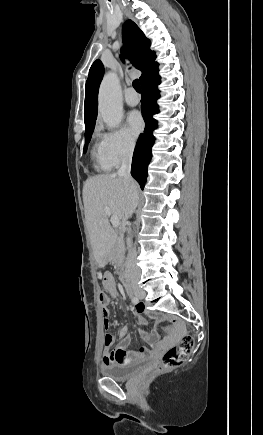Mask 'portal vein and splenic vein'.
<instances>
[{"instance_id":"18ae733b","label":"portal vein and splenic vein","mask_w":263,"mask_h":435,"mask_svg":"<svg viewBox=\"0 0 263 435\" xmlns=\"http://www.w3.org/2000/svg\"><path fill=\"white\" fill-rule=\"evenodd\" d=\"M105 214H106L107 216H111L110 221H111V224H112L114 227H118V226H119V221H120V219H119L118 216H116V215H112L111 212H110V210H109L108 208H105Z\"/></svg>"}]
</instances>
